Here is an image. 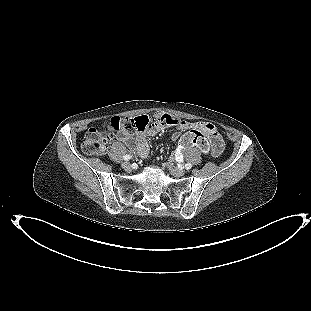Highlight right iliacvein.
<instances>
[{"mask_svg":"<svg viewBox=\"0 0 311 311\" xmlns=\"http://www.w3.org/2000/svg\"><path fill=\"white\" fill-rule=\"evenodd\" d=\"M130 166H131V164H130V162H128V161H125V162L122 163V167H123L124 169H129Z\"/></svg>","mask_w":311,"mask_h":311,"instance_id":"obj_1","label":"right iliac vein"}]
</instances>
